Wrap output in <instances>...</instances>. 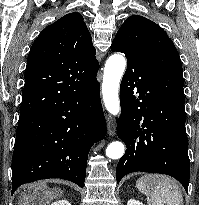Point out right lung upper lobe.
Segmentation results:
<instances>
[{"instance_id":"1","label":"right lung upper lobe","mask_w":199,"mask_h":205,"mask_svg":"<svg viewBox=\"0 0 199 205\" xmlns=\"http://www.w3.org/2000/svg\"><path fill=\"white\" fill-rule=\"evenodd\" d=\"M95 54L90 32L78 12L42 30L28 55L19 120L96 79L99 63Z\"/></svg>"}]
</instances>
